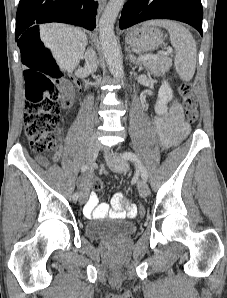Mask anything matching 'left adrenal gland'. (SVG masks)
Instances as JSON below:
<instances>
[{"label": "left adrenal gland", "mask_w": 227, "mask_h": 298, "mask_svg": "<svg viewBox=\"0 0 227 298\" xmlns=\"http://www.w3.org/2000/svg\"><path fill=\"white\" fill-rule=\"evenodd\" d=\"M126 50L128 52V56H129L130 62L133 63V64H135L136 66L142 67V64L139 61V59L131 53V51L129 50V48H127Z\"/></svg>", "instance_id": "obj_1"}]
</instances>
